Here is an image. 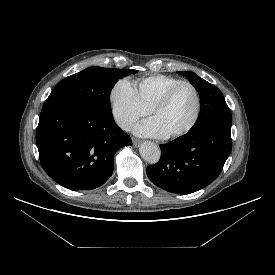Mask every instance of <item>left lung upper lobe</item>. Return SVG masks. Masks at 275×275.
<instances>
[{
  "label": "left lung upper lobe",
  "instance_id": "obj_1",
  "mask_svg": "<svg viewBox=\"0 0 275 275\" xmlns=\"http://www.w3.org/2000/svg\"><path fill=\"white\" fill-rule=\"evenodd\" d=\"M178 73L189 78L190 83L198 91L201 100L198 119L188 132L212 126H231V112L221 91L193 72Z\"/></svg>",
  "mask_w": 275,
  "mask_h": 275
}]
</instances>
